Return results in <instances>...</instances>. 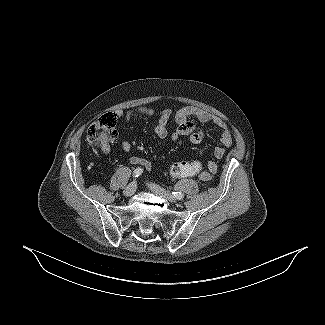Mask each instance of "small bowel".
<instances>
[{"instance_id":"1","label":"small bowel","mask_w":325,"mask_h":325,"mask_svg":"<svg viewBox=\"0 0 325 325\" xmlns=\"http://www.w3.org/2000/svg\"><path fill=\"white\" fill-rule=\"evenodd\" d=\"M119 117H123L126 122L131 121L136 116L151 117L155 115V111L148 107H138L127 111L126 113L118 112ZM172 115L171 110L164 109L157 114L158 122L154 127L153 131L157 137L164 139L168 136L167 123ZM174 118L176 121V128L171 133L172 140H177L179 137H186L188 141L192 144H200L204 139V131L199 128L193 118L197 119L202 123L213 122L217 127L222 130L221 142L223 147H216L214 149V156L217 159L222 158L225 155L226 147H230L233 143V136L227 127L226 123L220 119L213 118L207 111L193 106H184L178 109ZM121 147L124 151L129 152L132 149V145L128 141H123ZM104 152H108L109 148H103ZM130 163L141 165L146 168V170L151 169V164L148 160L132 156L130 158ZM201 165L200 162L197 161ZM217 163L215 161L208 162L207 169H202L193 176H197L202 181H209L217 172Z\"/></svg>"}]
</instances>
